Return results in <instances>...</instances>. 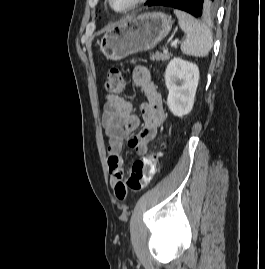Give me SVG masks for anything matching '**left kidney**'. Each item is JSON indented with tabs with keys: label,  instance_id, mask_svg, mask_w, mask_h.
I'll list each match as a JSON object with an SVG mask.
<instances>
[{
	"label": "left kidney",
	"instance_id": "obj_1",
	"mask_svg": "<svg viewBox=\"0 0 265 269\" xmlns=\"http://www.w3.org/2000/svg\"><path fill=\"white\" fill-rule=\"evenodd\" d=\"M199 82V69L194 63L181 58L172 59L165 72V84L169 91L167 105L178 117L189 114Z\"/></svg>",
	"mask_w": 265,
	"mask_h": 269
}]
</instances>
